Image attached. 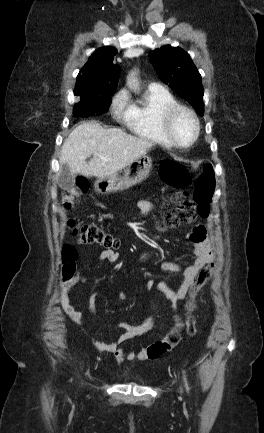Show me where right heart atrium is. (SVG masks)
<instances>
[{
	"label": "right heart atrium",
	"mask_w": 264,
	"mask_h": 433,
	"mask_svg": "<svg viewBox=\"0 0 264 433\" xmlns=\"http://www.w3.org/2000/svg\"><path fill=\"white\" fill-rule=\"evenodd\" d=\"M130 110V101L125 90H120L112 99L111 112L116 119H126Z\"/></svg>",
	"instance_id": "d8ad5b80"
}]
</instances>
